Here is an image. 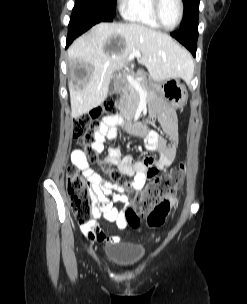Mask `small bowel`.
Masks as SVG:
<instances>
[{
    "label": "small bowel",
    "mask_w": 247,
    "mask_h": 304,
    "mask_svg": "<svg viewBox=\"0 0 247 304\" xmlns=\"http://www.w3.org/2000/svg\"><path fill=\"white\" fill-rule=\"evenodd\" d=\"M151 113L158 116L160 126L166 136L163 138L154 131H147L141 125L131 126L130 132L134 135L144 137L145 147L149 151L158 153L157 161L152 158L135 160L130 156L121 157L117 147L108 149L106 162L118 167L119 171L128 177L122 185L113 187L97 172L89 167L82 149H75L71 153V162L75 168L81 171L91 188V199L94 204L92 220L86 225H81L83 235L93 242L116 243L120 240L118 236H107L97 226L96 220L103 218L122 229L125 226V212L115 204L128 202L127 192L140 191L146 185L148 179L159 171L167 170L173 163L178 148V127L175 111L168 105L157 100L152 104ZM121 116L115 115L104 119L102 124L93 135L91 147L96 153L104 150L106 140H112L118 135V127L123 124ZM117 192L114 193L113 190Z\"/></svg>",
    "instance_id": "1"
}]
</instances>
